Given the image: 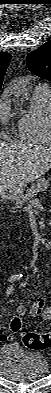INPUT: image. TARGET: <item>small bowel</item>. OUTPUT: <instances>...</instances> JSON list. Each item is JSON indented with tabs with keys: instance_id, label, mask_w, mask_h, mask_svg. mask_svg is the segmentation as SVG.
<instances>
[{
	"instance_id": "small-bowel-1",
	"label": "small bowel",
	"mask_w": 51,
	"mask_h": 393,
	"mask_svg": "<svg viewBox=\"0 0 51 393\" xmlns=\"http://www.w3.org/2000/svg\"><path fill=\"white\" fill-rule=\"evenodd\" d=\"M14 292L13 286H9L6 289V295L11 296ZM37 302H42L41 308H36V303ZM27 313V308L25 305H18L15 309V316L16 317H22ZM29 314L31 316H42L43 319H48L51 317V309L49 307L45 306V301L42 297H37L33 304L31 305L29 309ZM1 341L5 342L9 339V335H1Z\"/></svg>"
}]
</instances>
